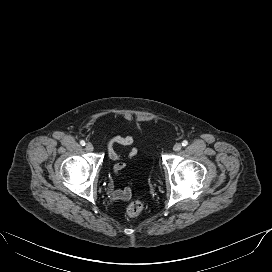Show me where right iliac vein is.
Here are the masks:
<instances>
[{
    "label": "right iliac vein",
    "mask_w": 272,
    "mask_h": 272,
    "mask_svg": "<svg viewBox=\"0 0 272 272\" xmlns=\"http://www.w3.org/2000/svg\"><path fill=\"white\" fill-rule=\"evenodd\" d=\"M86 150L87 151H93L94 147L91 143H87L86 146H85Z\"/></svg>",
    "instance_id": "1"
}]
</instances>
